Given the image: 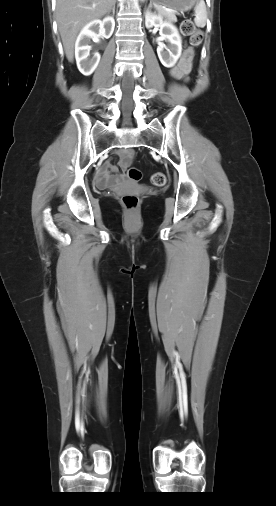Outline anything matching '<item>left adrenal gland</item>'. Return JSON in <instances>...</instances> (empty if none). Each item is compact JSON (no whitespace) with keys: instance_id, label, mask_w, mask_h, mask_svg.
<instances>
[{"instance_id":"obj_1","label":"left adrenal gland","mask_w":276,"mask_h":506,"mask_svg":"<svg viewBox=\"0 0 276 506\" xmlns=\"http://www.w3.org/2000/svg\"><path fill=\"white\" fill-rule=\"evenodd\" d=\"M151 7H152V3H150V5H149V8H151Z\"/></svg>"}]
</instances>
